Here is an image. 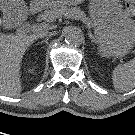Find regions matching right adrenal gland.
<instances>
[{
	"label": "right adrenal gland",
	"instance_id": "2a0ac1e0",
	"mask_svg": "<svg viewBox=\"0 0 135 135\" xmlns=\"http://www.w3.org/2000/svg\"><path fill=\"white\" fill-rule=\"evenodd\" d=\"M49 38H50V37H47L45 40L41 41V44H42V43H46V44H48V40H49Z\"/></svg>",
	"mask_w": 135,
	"mask_h": 135
}]
</instances>
